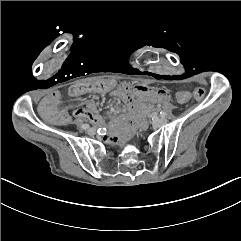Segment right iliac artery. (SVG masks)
<instances>
[{
    "instance_id": "82829eb1",
    "label": "right iliac artery",
    "mask_w": 241,
    "mask_h": 241,
    "mask_svg": "<svg viewBox=\"0 0 241 241\" xmlns=\"http://www.w3.org/2000/svg\"><path fill=\"white\" fill-rule=\"evenodd\" d=\"M82 128L86 130V129L89 128V125H88V124H84V125L82 126Z\"/></svg>"
}]
</instances>
